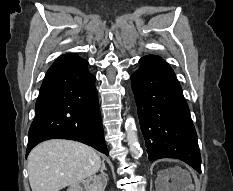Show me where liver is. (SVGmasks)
<instances>
[{"instance_id":"6515ba94","label":"liver","mask_w":233,"mask_h":191,"mask_svg":"<svg viewBox=\"0 0 233 191\" xmlns=\"http://www.w3.org/2000/svg\"><path fill=\"white\" fill-rule=\"evenodd\" d=\"M101 166L97 152L80 142L47 140L28 156V174L32 191H59L96 174Z\"/></svg>"}]
</instances>
